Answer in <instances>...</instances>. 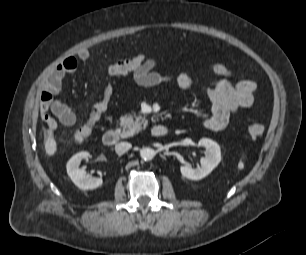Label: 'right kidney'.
I'll use <instances>...</instances> for the list:
<instances>
[{
	"label": "right kidney",
	"mask_w": 306,
	"mask_h": 255,
	"mask_svg": "<svg viewBox=\"0 0 306 255\" xmlns=\"http://www.w3.org/2000/svg\"><path fill=\"white\" fill-rule=\"evenodd\" d=\"M89 156L86 151L79 152L72 156L67 162L66 169L72 182L82 190H92L100 187L103 183L101 178L92 177L86 174L84 169H80L81 161Z\"/></svg>",
	"instance_id": "ca27d5eb"
}]
</instances>
